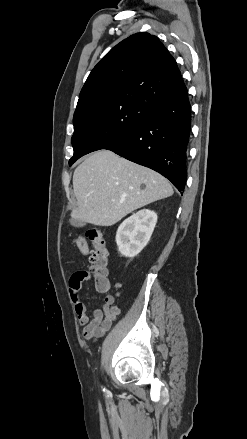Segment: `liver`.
Instances as JSON below:
<instances>
[{"label": "liver", "instance_id": "6515ba94", "mask_svg": "<svg viewBox=\"0 0 247 439\" xmlns=\"http://www.w3.org/2000/svg\"><path fill=\"white\" fill-rule=\"evenodd\" d=\"M73 188L77 208L72 217L96 226H112L132 211L174 193L159 173L109 150L93 153L75 169Z\"/></svg>", "mask_w": 247, "mask_h": 439}]
</instances>
